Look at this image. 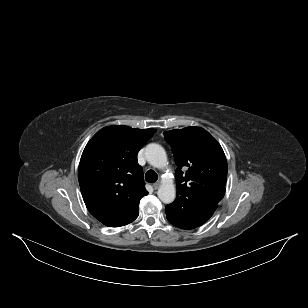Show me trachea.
<instances>
[{"instance_id":"1","label":"trachea","mask_w":308,"mask_h":308,"mask_svg":"<svg viewBox=\"0 0 308 308\" xmlns=\"http://www.w3.org/2000/svg\"><path fill=\"white\" fill-rule=\"evenodd\" d=\"M145 179L149 183H154L158 179L157 173L153 170H148L145 174Z\"/></svg>"}]
</instances>
